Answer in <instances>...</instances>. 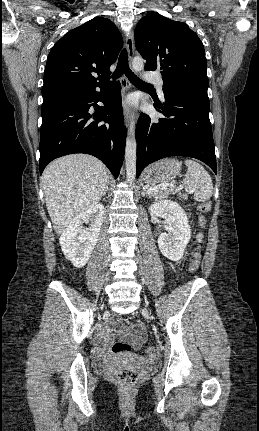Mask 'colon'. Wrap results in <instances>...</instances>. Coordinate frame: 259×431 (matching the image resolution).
<instances>
[{
	"instance_id": "colon-1",
	"label": "colon",
	"mask_w": 259,
	"mask_h": 431,
	"mask_svg": "<svg viewBox=\"0 0 259 431\" xmlns=\"http://www.w3.org/2000/svg\"><path fill=\"white\" fill-rule=\"evenodd\" d=\"M210 210H211V203L209 201L202 202L198 206V223L200 228L205 227V224H206L205 214L208 213ZM199 250H200V247L199 245H197L193 251L192 259L189 266L191 273H195L199 268ZM111 350L113 353H125L131 350V346L127 343L117 342L113 344ZM155 354H156L155 348L152 346H147L144 349V355L149 359L154 358ZM114 375L117 381L126 388H130L133 385H135L139 378V374L136 370L127 369V368H119L115 370Z\"/></svg>"
}]
</instances>
